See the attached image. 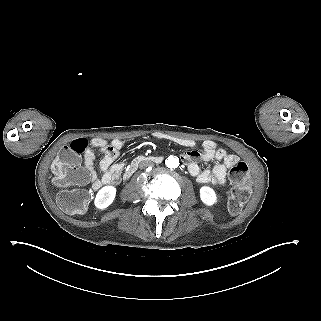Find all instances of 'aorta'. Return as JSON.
I'll list each match as a JSON object with an SVG mask.
<instances>
[{
    "mask_svg": "<svg viewBox=\"0 0 321 321\" xmlns=\"http://www.w3.org/2000/svg\"><path fill=\"white\" fill-rule=\"evenodd\" d=\"M165 163L168 168L174 169L179 166V160L176 157L170 156L165 160Z\"/></svg>",
    "mask_w": 321,
    "mask_h": 321,
    "instance_id": "aorta-1",
    "label": "aorta"
}]
</instances>
